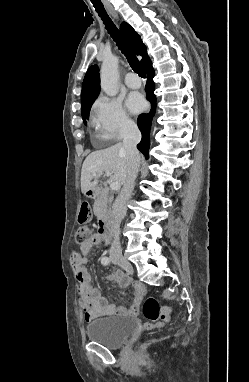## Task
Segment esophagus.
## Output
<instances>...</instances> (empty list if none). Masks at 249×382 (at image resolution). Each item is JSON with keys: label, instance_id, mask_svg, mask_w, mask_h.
I'll return each mask as SVG.
<instances>
[{"label": "esophagus", "instance_id": "34e87169", "mask_svg": "<svg viewBox=\"0 0 249 382\" xmlns=\"http://www.w3.org/2000/svg\"><path fill=\"white\" fill-rule=\"evenodd\" d=\"M105 6H106V8L108 9V11L110 12V14H111L114 18L118 19V15H117V13L115 12V10L113 9V7H112L109 3H105Z\"/></svg>", "mask_w": 249, "mask_h": 382}]
</instances>
